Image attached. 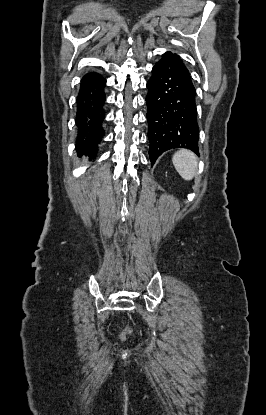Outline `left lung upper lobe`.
<instances>
[{
    "mask_svg": "<svg viewBox=\"0 0 266 415\" xmlns=\"http://www.w3.org/2000/svg\"><path fill=\"white\" fill-rule=\"evenodd\" d=\"M168 56H170V57H172V58H174V59H176V60H178L182 65H184L183 64V62H182V60L179 58V56H177L176 54H172L171 52H167L166 53ZM185 66V65H184Z\"/></svg>",
    "mask_w": 266,
    "mask_h": 415,
    "instance_id": "obj_1",
    "label": "left lung upper lobe"
}]
</instances>
